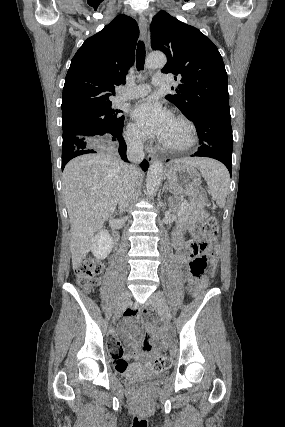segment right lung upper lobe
<instances>
[{"label": "right lung upper lobe", "mask_w": 285, "mask_h": 427, "mask_svg": "<svg viewBox=\"0 0 285 427\" xmlns=\"http://www.w3.org/2000/svg\"><path fill=\"white\" fill-rule=\"evenodd\" d=\"M139 28L134 19L118 15L84 41L71 61L62 95V117L111 103L115 85L125 82L135 59Z\"/></svg>", "instance_id": "1"}]
</instances>
